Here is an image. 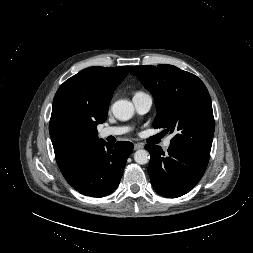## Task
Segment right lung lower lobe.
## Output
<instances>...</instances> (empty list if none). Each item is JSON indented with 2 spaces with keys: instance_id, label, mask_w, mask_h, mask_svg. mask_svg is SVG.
<instances>
[{
  "instance_id": "1",
  "label": "right lung lower lobe",
  "mask_w": 253,
  "mask_h": 253,
  "mask_svg": "<svg viewBox=\"0 0 253 253\" xmlns=\"http://www.w3.org/2000/svg\"><path fill=\"white\" fill-rule=\"evenodd\" d=\"M133 150L131 142H94L65 171L66 181L79 193L103 197L120 183L127 158Z\"/></svg>"
}]
</instances>
